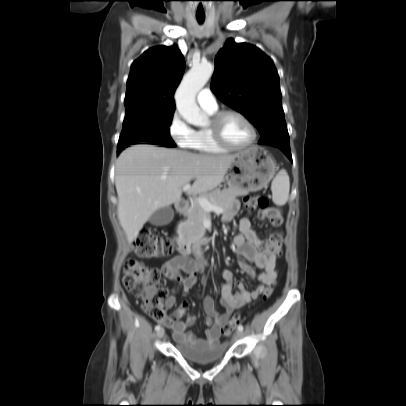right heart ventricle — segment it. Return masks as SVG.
<instances>
[{
    "mask_svg": "<svg viewBox=\"0 0 406 406\" xmlns=\"http://www.w3.org/2000/svg\"><path fill=\"white\" fill-rule=\"evenodd\" d=\"M205 111L212 116L214 113H216L217 109H205ZM189 148L203 153H221L226 151V149H223L215 143L207 127H203L195 131L194 138Z\"/></svg>",
    "mask_w": 406,
    "mask_h": 406,
    "instance_id": "obj_1",
    "label": "right heart ventricle"
}]
</instances>
